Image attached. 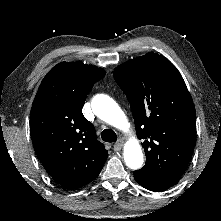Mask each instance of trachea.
I'll return each mask as SVG.
<instances>
[{
    "mask_svg": "<svg viewBox=\"0 0 221 221\" xmlns=\"http://www.w3.org/2000/svg\"><path fill=\"white\" fill-rule=\"evenodd\" d=\"M101 138L105 142H115L117 140V135L112 129H105L101 133Z\"/></svg>",
    "mask_w": 221,
    "mask_h": 221,
    "instance_id": "3493384b",
    "label": "trachea"
}]
</instances>
